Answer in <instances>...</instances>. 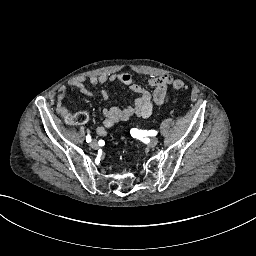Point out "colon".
<instances>
[{
    "instance_id": "obj_1",
    "label": "colon",
    "mask_w": 256,
    "mask_h": 256,
    "mask_svg": "<svg viewBox=\"0 0 256 256\" xmlns=\"http://www.w3.org/2000/svg\"><path fill=\"white\" fill-rule=\"evenodd\" d=\"M173 86H174V89L176 91H180V92H183V91H186L187 90V85L182 82V81H175L173 83ZM75 122L77 123H84L86 122L87 118L84 116V115H77L75 118H74Z\"/></svg>"
}]
</instances>
